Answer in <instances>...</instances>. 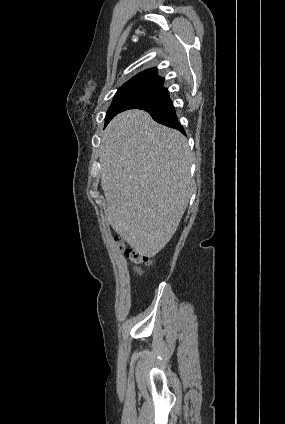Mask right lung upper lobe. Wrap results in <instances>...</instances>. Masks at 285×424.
Listing matches in <instances>:
<instances>
[{"label": "right lung upper lobe", "instance_id": "1", "mask_svg": "<svg viewBox=\"0 0 285 424\" xmlns=\"http://www.w3.org/2000/svg\"><path fill=\"white\" fill-rule=\"evenodd\" d=\"M164 79L157 75V68H151L145 70L132 79L127 81L123 86L134 85V84H161L163 85Z\"/></svg>", "mask_w": 285, "mask_h": 424}]
</instances>
